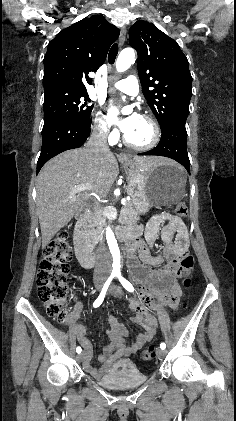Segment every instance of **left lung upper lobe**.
Wrapping results in <instances>:
<instances>
[{"mask_svg":"<svg viewBox=\"0 0 236 421\" xmlns=\"http://www.w3.org/2000/svg\"><path fill=\"white\" fill-rule=\"evenodd\" d=\"M129 43L138 53L143 94L161 129L175 117L187 118L192 76L177 42L155 25L137 21L129 30Z\"/></svg>","mask_w":236,"mask_h":421,"instance_id":"obj_1","label":"left lung upper lobe"}]
</instances>
